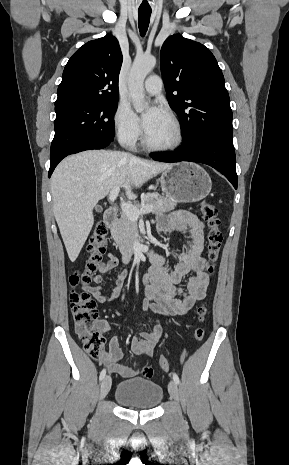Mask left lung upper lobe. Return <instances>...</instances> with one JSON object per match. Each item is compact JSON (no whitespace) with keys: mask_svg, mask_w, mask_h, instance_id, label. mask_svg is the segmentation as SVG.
Instances as JSON below:
<instances>
[{"mask_svg":"<svg viewBox=\"0 0 289 465\" xmlns=\"http://www.w3.org/2000/svg\"><path fill=\"white\" fill-rule=\"evenodd\" d=\"M160 63L169 105L182 122L183 145L200 136L232 142L229 94L211 51L175 34L164 42Z\"/></svg>","mask_w":289,"mask_h":465,"instance_id":"1","label":"left lung upper lobe"}]
</instances>
